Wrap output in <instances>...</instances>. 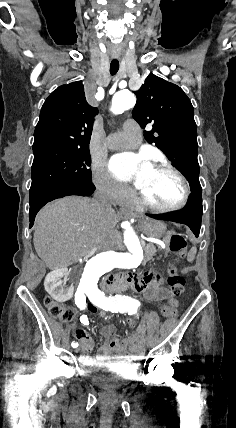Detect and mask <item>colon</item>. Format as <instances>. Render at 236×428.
<instances>
[{"mask_svg": "<svg viewBox=\"0 0 236 428\" xmlns=\"http://www.w3.org/2000/svg\"><path fill=\"white\" fill-rule=\"evenodd\" d=\"M170 250L177 254L179 257L186 255V241L183 236L174 234L170 239ZM168 285L174 296L181 295L185 290V279L178 273L176 267L171 263L168 267ZM48 313L54 318L66 324L72 322V312L63 304L58 303L50 298L44 300ZM162 314L167 318H174L177 314L174 305H164ZM129 327H133L135 322L132 319L127 321Z\"/></svg>", "mask_w": 236, "mask_h": 428, "instance_id": "colon-1", "label": "colon"}]
</instances>
